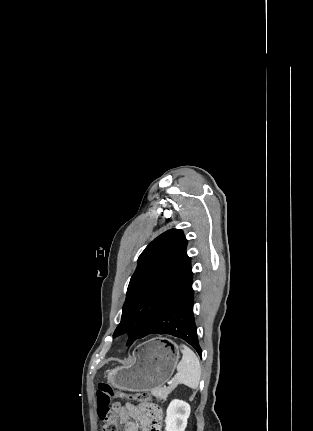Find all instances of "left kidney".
Listing matches in <instances>:
<instances>
[{
    "mask_svg": "<svg viewBox=\"0 0 313 431\" xmlns=\"http://www.w3.org/2000/svg\"><path fill=\"white\" fill-rule=\"evenodd\" d=\"M190 416V405L182 400H172L166 411L165 431H185Z\"/></svg>",
    "mask_w": 313,
    "mask_h": 431,
    "instance_id": "obj_1",
    "label": "left kidney"
}]
</instances>
